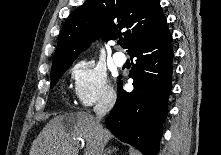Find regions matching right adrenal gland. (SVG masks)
<instances>
[{"label": "right adrenal gland", "mask_w": 221, "mask_h": 155, "mask_svg": "<svg viewBox=\"0 0 221 155\" xmlns=\"http://www.w3.org/2000/svg\"><path fill=\"white\" fill-rule=\"evenodd\" d=\"M117 151H118V148H116V147H108L105 149L104 155H113Z\"/></svg>", "instance_id": "2a0ac1e0"}]
</instances>
